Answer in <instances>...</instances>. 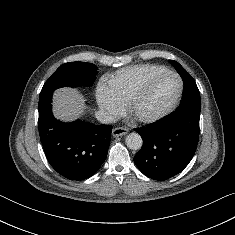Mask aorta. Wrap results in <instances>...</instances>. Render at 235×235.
<instances>
[{
  "label": "aorta",
  "mask_w": 235,
  "mask_h": 235,
  "mask_svg": "<svg viewBox=\"0 0 235 235\" xmlns=\"http://www.w3.org/2000/svg\"><path fill=\"white\" fill-rule=\"evenodd\" d=\"M125 142L129 149L138 150L142 147L143 140L138 133H130L126 136Z\"/></svg>",
  "instance_id": "obj_1"
}]
</instances>
